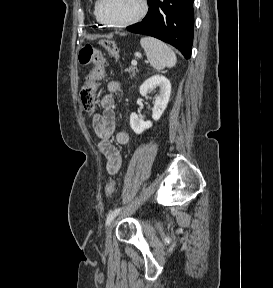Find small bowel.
<instances>
[{"mask_svg":"<svg viewBox=\"0 0 273 288\" xmlns=\"http://www.w3.org/2000/svg\"><path fill=\"white\" fill-rule=\"evenodd\" d=\"M121 91V83L112 81L107 85V92L102 94L100 105L101 113H95L92 117V126L95 134L99 138L98 148L106 161V169L110 175L118 173L122 158L117 147L110 141L116 127V117L114 112V101ZM116 142L120 145L127 144L129 135L125 130H119L115 135Z\"/></svg>","mask_w":273,"mask_h":288,"instance_id":"c3829d8e","label":"small bowel"}]
</instances>
